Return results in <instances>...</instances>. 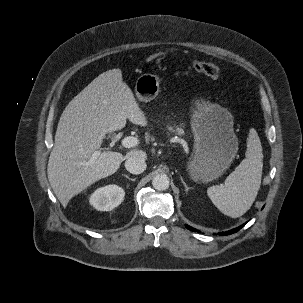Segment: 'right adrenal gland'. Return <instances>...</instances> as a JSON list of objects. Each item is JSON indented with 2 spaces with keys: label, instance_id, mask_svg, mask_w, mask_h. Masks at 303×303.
Here are the masks:
<instances>
[{
  "label": "right adrenal gland",
  "instance_id": "2a0ac1e0",
  "mask_svg": "<svg viewBox=\"0 0 303 303\" xmlns=\"http://www.w3.org/2000/svg\"><path fill=\"white\" fill-rule=\"evenodd\" d=\"M124 177H126L128 180H131V181H135L136 178H130L128 175H123Z\"/></svg>",
  "mask_w": 303,
  "mask_h": 303
}]
</instances>
